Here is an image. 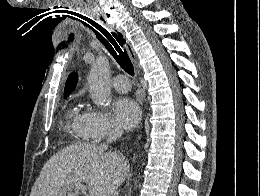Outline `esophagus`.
I'll use <instances>...</instances> for the list:
<instances>
[{
    "label": "esophagus",
    "mask_w": 260,
    "mask_h": 196,
    "mask_svg": "<svg viewBox=\"0 0 260 196\" xmlns=\"http://www.w3.org/2000/svg\"><path fill=\"white\" fill-rule=\"evenodd\" d=\"M118 31L121 32L120 29H118ZM125 48H126V50L128 51V54H129V56L131 57L132 61H133L134 63H136L135 53H134V51H133V49H132V46H131V44H130V42H129L128 40H126Z\"/></svg>",
    "instance_id": "1"
}]
</instances>
